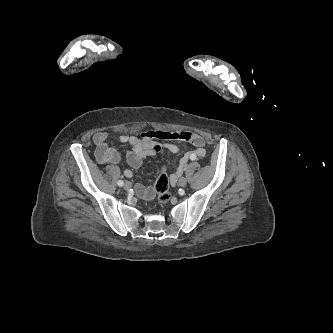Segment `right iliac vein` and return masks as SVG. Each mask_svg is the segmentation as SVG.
Instances as JSON below:
<instances>
[{"instance_id": "right-iliac-vein-1", "label": "right iliac vein", "mask_w": 333, "mask_h": 333, "mask_svg": "<svg viewBox=\"0 0 333 333\" xmlns=\"http://www.w3.org/2000/svg\"><path fill=\"white\" fill-rule=\"evenodd\" d=\"M131 188V183L130 182H126L125 184H124V189L125 190H129Z\"/></svg>"}]
</instances>
